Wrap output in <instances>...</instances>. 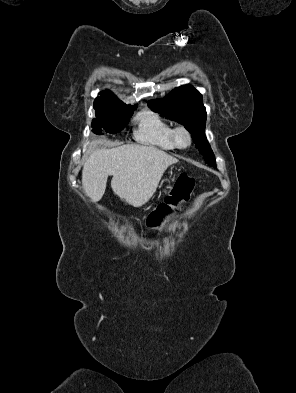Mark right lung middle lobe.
Listing matches in <instances>:
<instances>
[{"mask_svg": "<svg viewBox=\"0 0 296 393\" xmlns=\"http://www.w3.org/2000/svg\"><path fill=\"white\" fill-rule=\"evenodd\" d=\"M137 105H126L121 101H111L94 104L96 119L92 120L95 134H101V128L115 134L120 132L128 123Z\"/></svg>", "mask_w": 296, "mask_h": 393, "instance_id": "dd1d6c3e", "label": "right lung middle lobe"}]
</instances>
